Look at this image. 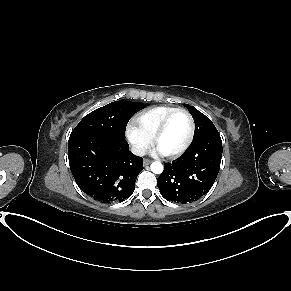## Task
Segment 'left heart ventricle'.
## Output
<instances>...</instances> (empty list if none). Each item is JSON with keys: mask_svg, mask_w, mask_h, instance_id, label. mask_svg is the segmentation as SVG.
I'll use <instances>...</instances> for the list:
<instances>
[{"mask_svg": "<svg viewBox=\"0 0 291 291\" xmlns=\"http://www.w3.org/2000/svg\"><path fill=\"white\" fill-rule=\"evenodd\" d=\"M189 128V119L185 114L174 115L159 139L157 149L161 153H171L180 149L188 138Z\"/></svg>", "mask_w": 291, "mask_h": 291, "instance_id": "1", "label": "left heart ventricle"}]
</instances>
